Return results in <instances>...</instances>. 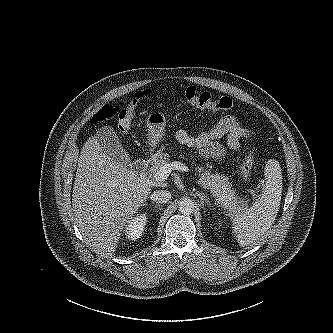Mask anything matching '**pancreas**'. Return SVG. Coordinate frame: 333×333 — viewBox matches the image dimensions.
I'll return each instance as SVG.
<instances>
[{
    "mask_svg": "<svg viewBox=\"0 0 333 333\" xmlns=\"http://www.w3.org/2000/svg\"><path fill=\"white\" fill-rule=\"evenodd\" d=\"M169 161V154L163 152V149L158 150L151 157L152 166L149 169L150 173L152 175L155 174L162 165ZM196 171L199 174L198 184L210 190L218 204H220L224 210L228 211L229 215H233V213L245 206L244 200L236 197V192L232 189L228 177L219 173L213 174L209 170H205L203 167L199 166L196 168Z\"/></svg>",
    "mask_w": 333,
    "mask_h": 333,
    "instance_id": "cf45deb5",
    "label": "pancreas"
}]
</instances>
